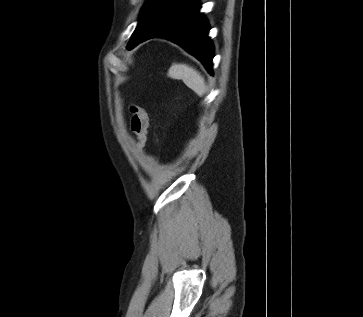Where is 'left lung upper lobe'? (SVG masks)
Wrapping results in <instances>:
<instances>
[{"instance_id":"obj_1","label":"left lung upper lobe","mask_w":363,"mask_h":317,"mask_svg":"<svg viewBox=\"0 0 363 317\" xmlns=\"http://www.w3.org/2000/svg\"><path fill=\"white\" fill-rule=\"evenodd\" d=\"M157 3L158 0H149L142 8L139 24L131 37L128 47L132 46L144 34L146 28L150 23L152 12L154 11V8L156 7Z\"/></svg>"}]
</instances>
